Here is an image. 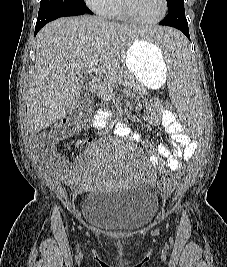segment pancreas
I'll list each match as a JSON object with an SVG mask.
<instances>
[{
	"mask_svg": "<svg viewBox=\"0 0 227 267\" xmlns=\"http://www.w3.org/2000/svg\"><path fill=\"white\" fill-rule=\"evenodd\" d=\"M122 84L125 86L137 85L133 76L124 69H115L108 72V74L101 80L99 84V95L107 100L113 91V89L118 85Z\"/></svg>",
	"mask_w": 227,
	"mask_h": 267,
	"instance_id": "1",
	"label": "pancreas"
}]
</instances>
